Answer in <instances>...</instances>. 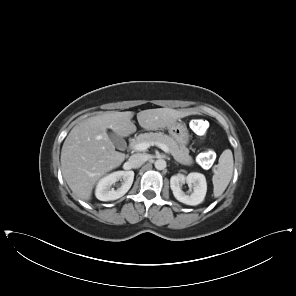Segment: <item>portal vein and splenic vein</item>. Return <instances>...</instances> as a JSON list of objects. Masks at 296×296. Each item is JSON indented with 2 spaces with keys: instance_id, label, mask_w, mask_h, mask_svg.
Returning <instances> with one entry per match:
<instances>
[{
  "instance_id": "portal-vein-and-splenic-vein-1",
  "label": "portal vein and splenic vein",
  "mask_w": 296,
  "mask_h": 296,
  "mask_svg": "<svg viewBox=\"0 0 296 296\" xmlns=\"http://www.w3.org/2000/svg\"><path fill=\"white\" fill-rule=\"evenodd\" d=\"M153 145L158 146L160 149H162L166 153H171L170 149L165 144L160 142H142V143L136 144L134 148L137 151H144Z\"/></svg>"
}]
</instances>
